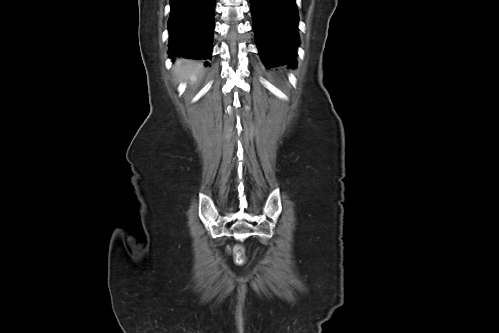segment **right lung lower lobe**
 I'll return each mask as SVG.
<instances>
[{
	"label": "right lung lower lobe",
	"mask_w": 499,
	"mask_h": 333,
	"mask_svg": "<svg viewBox=\"0 0 499 333\" xmlns=\"http://www.w3.org/2000/svg\"><path fill=\"white\" fill-rule=\"evenodd\" d=\"M170 5L169 56L210 59L215 0H170Z\"/></svg>",
	"instance_id": "1"
}]
</instances>
